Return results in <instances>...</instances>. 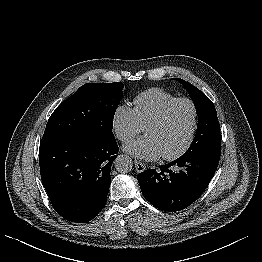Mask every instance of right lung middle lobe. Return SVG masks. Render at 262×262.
<instances>
[{
  "label": "right lung middle lobe",
  "instance_id": "dd1d6c3e",
  "mask_svg": "<svg viewBox=\"0 0 262 262\" xmlns=\"http://www.w3.org/2000/svg\"><path fill=\"white\" fill-rule=\"evenodd\" d=\"M122 88L120 82L84 84L55 109L43 138L59 135L114 137L113 118L122 99Z\"/></svg>",
  "mask_w": 262,
  "mask_h": 262
}]
</instances>
